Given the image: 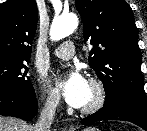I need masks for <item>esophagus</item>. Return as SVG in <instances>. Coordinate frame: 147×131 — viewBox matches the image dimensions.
I'll return each mask as SVG.
<instances>
[{
    "instance_id": "1",
    "label": "esophagus",
    "mask_w": 147,
    "mask_h": 131,
    "mask_svg": "<svg viewBox=\"0 0 147 131\" xmlns=\"http://www.w3.org/2000/svg\"><path fill=\"white\" fill-rule=\"evenodd\" d=\"M63 131H71V130H66V129H63Z\"/></svg>"
}]
</instances>
